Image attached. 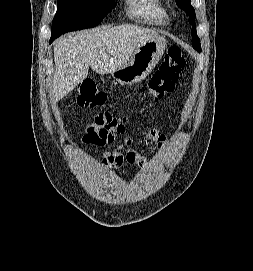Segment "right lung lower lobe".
<instances>
[{"label":"right lung lower lobe","mask_w":253,"mask_h":271,"mask_svg":"<svg viewBox=\"0 0 253 271\" xmlns=\"http://www.w3.org/2000/svg\"><path fill=\"white\" fill-rule=\"evenodd\" d=\"M53 40H55V39H54V38H51V39H50V43H51Z\"/></svg>","instance_id":"98d812e1"}]
</instances>
